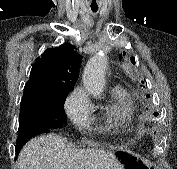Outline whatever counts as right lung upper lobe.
I'll return each instance as SVG.
<instances>
[{"instance_id": "1", "label": "right lung upper lobe", "mask_w": 177, "mask_h": 169, "mask_svg": "<svg viewBox=\"0 0 177 169\" xmlns=\"http://www.w3.org/2000/svg\"><path fill=\"white\" fill-rule=\"evenodd\" d=\"M81 61L70 43L46 49L42 59L32 67L22 100L49 102L68 95L79 77Z\"/></svg>"}]
</instances>
